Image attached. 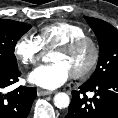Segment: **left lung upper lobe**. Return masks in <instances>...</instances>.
Listing matches in <instances>:
<instances>
[{
    "label": "left lung upper lobe",
    "mask_w": 118,
    "mask_h": 118,
    "mask_svg": "<svg viewBox=\"0 0 118 118\" xmlns=\"http://www.w3.org/2000/svg\"><path fill=\"white\" fill-rule=\"evenodd\" d=\"M99 42V60L94 74L87 83H97L118 76V30L109 23L85 17Z\"/></svg>",
    "instance_id": "obj_1"
}]
</instances>
